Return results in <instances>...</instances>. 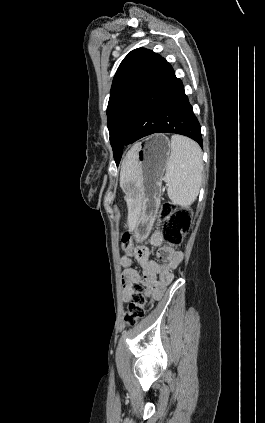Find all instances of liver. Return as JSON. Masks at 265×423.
Here are the masks:
<instances>
[{
  "label": "liver",
  "mask_w": 265,
  "mask_h": 423,
  "mask_svg": "<svg viewBox=\"0 0 265 423\" xmlns=\"http://www.w3.org/2000/svg\"><path fill=\"white\" fill-rule=\"evenodd\" d=\"M135 150L136 145L128 152L122 163L120 173V181L122 184H126L129 182L138 183L140 181V171L136 163ZM138 214L139 209L134 210L131 208V206L129 207L128 226L130 230H132L136 226Z\"/></svg>",
  "instance_id": "6515ba94"
}]
</instances>
